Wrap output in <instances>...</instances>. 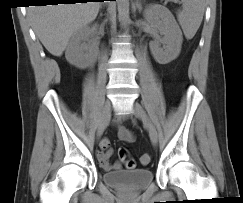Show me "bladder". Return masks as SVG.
I'll return each instance as SVG.
<instances>
[{
	"label": "bladder",
	"instance_id": "31cf9c89",
	"mask_svg": "<svg viewBox=\"0 0 243 203\" xmlns=\"http://www.w3.org/2000/svg\"><path fill=\"white\" fill-rule=\"evenodd\" d=\"M105 184L119 190L137 192L147 188L154 179L149 168L108 171L102 174Z\"/></svg>",
	"mask_w": 243,
	"mask_h": 203
}]
</instances>
